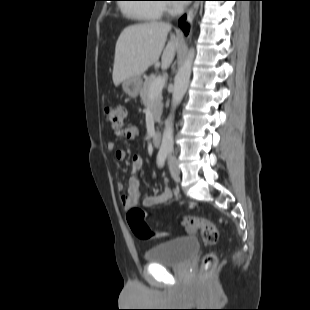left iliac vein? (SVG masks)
Returning a JSON list of instances; mask_svg holds the SVG:
<instances>
[{
    "label": "left iliac vein",
    "instance_id": "obj_1",
    "mask_svg": "<svg viewBox=\"0 0 310 310\" xmlns=\"http://www.w3.org/2000/svg\"><path fill=\"white\" fill-rule=\"evenodd\" d=\"M168 165H169V170L171 173V176L175 179L178 180L180 178V168L178 166L177 159L174 156H170L168 159Z\"/></svg>",
    "mask_w": 310,
    "mask_h": 310
}]
</instances>
